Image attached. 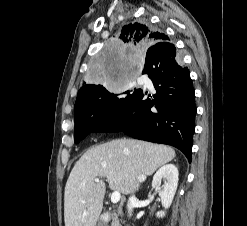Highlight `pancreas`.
<instances>
[{
    "instance_id": "1",
    "label": "pancreas",
    "mask_w": 247,
    "mask_h": 226,
    "mask_svg": "<svg viewBox=\"0 0 247 226\" xmlns=\"http://www.w3.org/2000/svg\"><path fill=\"white\" fill-rule=\"evenodd\" d=\"M111 226H120L119 219L117 215L112 216Z\"/></svg>"
}]
</instances>
